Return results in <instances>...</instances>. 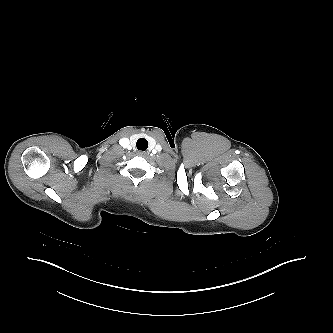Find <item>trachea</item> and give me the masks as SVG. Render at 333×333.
Returning a JSON list of instances; mask_svg holds the SVG:
<instances>
[{
    "label": "trachea",
    "mask_w": 333,
    "mask_h": 333,
    "mask_svg": "<svg viewBox=\"0 0 333 333\" xmlns=\"http://www.w3.org/2000/svg\"><path fill=\"white\" fill-rule=\"evenodd\" d=\"M136 146L138 150L146 151L148 148V141L144 138H140L137 140Z\"/></svg>",
    "instance_id": "1"
}]
</instances>
